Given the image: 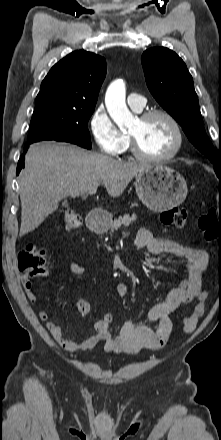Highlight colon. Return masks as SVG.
<instances>
[{"mask_svg":"<svg viewBox=\"0 0 221 440\" xmlns=\"http://www.w3.org/2000/svg\"><path fill=\"white\" fill-rule=\"evenodd\" d=\"M187 219V210L179 207L164 210L160 214V220L163 224L177 228L184 227ZM63 224L66 231L76 230L82 224L81 216L74 211L68 210L64 214ZM199 227L208 242H215L221 239V222H218L213 215L207 214L200 218ZM18 266L29 278L43 274L45 272L44 252L32 244H28L18 255ZM90 309L91 306L88 300L82 299L78 301L77 310L81 315L88 314ZM102 317L104 321L109 323L114 320V313L104 312Z\"/></svg>","mask_w":221,"mask_h":440,"instance_id":"5ec220e1","label":"colon"}]
</instances>
